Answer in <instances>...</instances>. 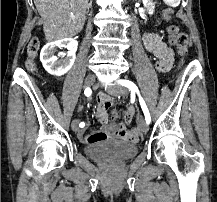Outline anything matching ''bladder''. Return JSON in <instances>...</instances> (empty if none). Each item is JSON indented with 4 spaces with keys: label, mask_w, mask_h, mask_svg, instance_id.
I'll return each mask as SVG.
<instances>
[{
    "label": "bladder",
    "mask_w": 217,
    "mask_h": 202,
    "mask_svg": "<svg viewBox=\"0 0 217 202\" xmlns=\"http://www.w3.org/2000/svg\"><path fill=\"white\" fill-rule=\"evenodd\" d=\"M138 145L132 141L108 140L92 143L86 146L87 156L91 158H116L124 160L130 156H136Z\"/></svg>",
    "instance_id": "bladder-1"
}]
</instances>
